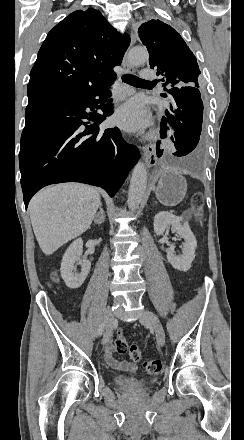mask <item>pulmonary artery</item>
I'll use <instances>...</instances> for the list:
<instances>
[{"mask_svg":"<svg viewBox=\"0 0 244 440\" xmlns=\"http://www.w3.org/2000/svg\"><path fill=\"white\" fill-rule=\"evenodd\" d=\"M137 74H138L139 78H151L152 77V70L151 69H139Z\"/></svg>","mask_w":244,"mask_h":440,"instance_id":"pulmonary-artery-1","label":"pulmonary artery"}]
</instances>
